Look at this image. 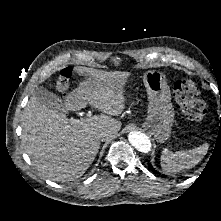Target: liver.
<instances>
[{"instance_id": "1", "label": "liver", "mask_w": 221, "mask_h": 221, "mask_svg": "<svg viewBox=\"0 0 221 221\" xmlns=\"http://www.w3.org/2000/svg\"><path fill=\"white\" fill-rule=\"evenodd\" d=\"M84 74L80 86L65 97L66 110L77 111L87 104L102 112L89 118L68 120L67 116L41 104L33 95L22 115V135L26 153L34 166L57 182L73 181L90 167L100 148V140L114 137L121 122L112 116L125 108L128 72H107L78 68ZM102 132L109 136L101 137Z\"/></svg>"}]
</instances>
